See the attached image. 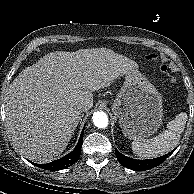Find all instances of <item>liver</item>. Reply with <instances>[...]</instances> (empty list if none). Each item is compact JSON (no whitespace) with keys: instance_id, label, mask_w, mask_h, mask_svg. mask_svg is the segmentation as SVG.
<instances>
[{"instance_id":"obj_1","label":"liver","mask_w":194,"mask_h":194,"mask_svg":"<svg viewBox=\"0 0 194 194\" xmlns=\"http://www.w3.org/2000/svg\"><path fill=\"white\" fill-rule=\"evenodd\" d=\"M134 70L133 60L106 48L45 55L24 69L7 92L5 123L14 146L31 161H53L81 119L77 105L87 112L93 106L92 91Z\"/></svg>"}]
</instances>
